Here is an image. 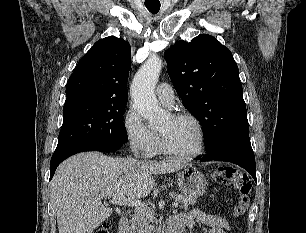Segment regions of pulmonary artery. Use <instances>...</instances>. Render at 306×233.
I'll list each match as a JSON object with an SVG mask.
<instances>
[{"label":"pulmonary artery","instance_id":"1","mask_svg":"<svg viewBox=\"0 0 306 233\" xmlns=\"http://www.w3.org/2000/svg\"><path fill=\"white\" fill-rule=\"evenodd\" d=\"M156 95L162 104L166 106H172L174 102V92L168 83L159 84L156 88Z\"/></svg>","mask_w":306,"mask_h":233}]
</instances>
